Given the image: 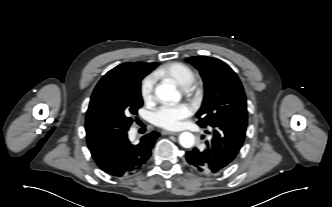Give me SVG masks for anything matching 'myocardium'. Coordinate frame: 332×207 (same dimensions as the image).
I'll list each match as a JSON object with an SVG mask.
<instances>
[{
  "label": "myocardium",
  "mask_w": 332,
  "mask_h": 207,
  "mask_svg": "<svg viewBox=\"0 0 332 207\" xmlns=\"http://www.w3.org/2000/svg\"><path fill=\"white\" fill-rule=\"evenodd\" d=\"M185 92L188 93L191 96L195 95V90H196V85L195 84H190L186 88H184Z\"/></svg>",
  "instance_id": "1"
}]
</instances>
